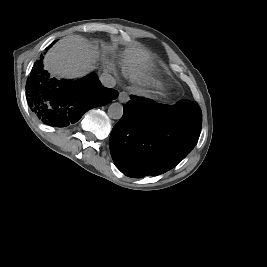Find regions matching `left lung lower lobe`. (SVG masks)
<instances>
[{"mask_svg":"<svg viewBox=\"0 0 267 267\" xmlns=\"http://www.w3.org/2000/svg\"><path fill=\"white\" fill-rule=\"evenodd\" d=\"M130 97L110 135L113 161L129 177L162 174L181 162L196 145L201 109L189 100L166 105Z\"/></svg>","mask_w":267,"mask_h":267,"instance_id":"left-lung-lower-lobe-1","label":"left lung lower lobe"}]
</instances>
